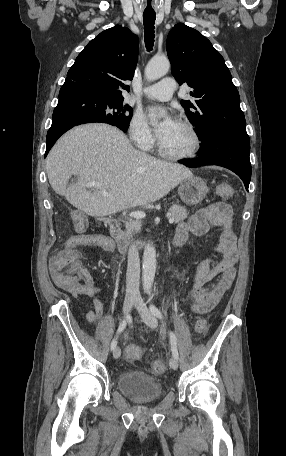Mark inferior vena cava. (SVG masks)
Wrapping results in <instances>:
<instances>
[{
	"label": "inferior vena cava",
	"mask_w": 286,
	"mask_h": 456,
	"mask_svg": "<svg viewBox=\"0 0 286 456\" xmlns=\"http://www.w3.org/2000/svg\"><path fill=\"white\" fill-rule=\"evenodd\" d=\"M140 258L135 244L128 250V264L126 274V296L139 297Z\"/></svg>",
	"instance_id": "1"
}]
</instances>
